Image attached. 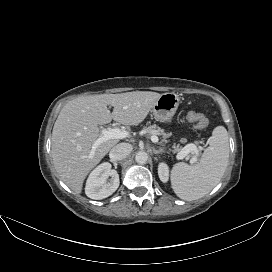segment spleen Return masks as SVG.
Segmentation results:
<instances>
[{
	"label": "spleen",
	"instance_id": "1",
	"mask_svg": "<svg viewBox=\"0 0 272 272\" xmlns=\"http://www.w3.org/2000/svg\"><path fill=\"white\" fill-rule=\"evenodd\" d=\"M229 159L228 133L217 126L209 139V147L194 166L176 163L171 171V185L182 200H196L209 193L221 180Z\"/></svg>",
	"mask_w": 272,
	"mask_h": 272
}]
</instances>
